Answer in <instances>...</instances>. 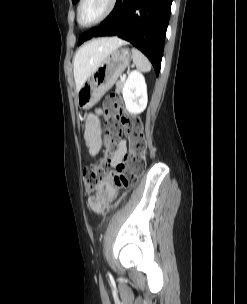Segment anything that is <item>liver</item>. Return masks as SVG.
Instances as JSON below:
<instances>
[{
    "label": "liver",
    "instance_id": "liver-1",
    "mask_svg": "<svg viewBox=\"0 0 247 304\" xmlns=\"http://www.w3.org/2000/svg\"><path fill=\"white\" fill-rule=\"evenodd\" d=\"M125 43L117 37L99 38L80 47L73 61L76 90L82 88L83 84L109 54Z\"/></svg>",
    "mask_w": 247,
    "mask_h": 304
}]
</instances>
